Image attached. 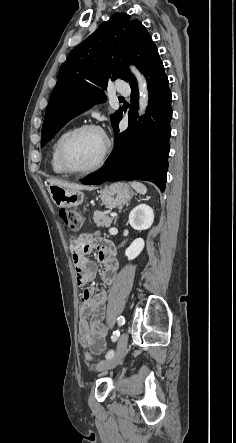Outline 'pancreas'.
<instances>
[{"mask_svg": "<svg viewBox=\"0 0 236 443\" xmlns=\"http://www.w3.org/2000/svg\"><path fill=\"white\" fill-rule=\"evenodd\" d=\"M93 220L98 227L109 228L113 221V217H107L105 213L96 211L94 212Z\"/></svg>", "mask_w": 236, "mask_h": 443, "instance_id": "cf45deb5", "label": "pancreas"}]
</instances>
